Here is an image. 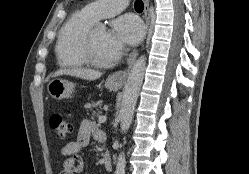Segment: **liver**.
I'll list each match as a JSON object with an SVG mask.
<instances>
[{"instance_id": "liver-1", "label": "liver", "mask_w": 249, "mask_h": 174, "mask_svg": "<svg viewBox=\"0 0 249 174\" xmlns=\"http://www.w3.org/2000/svg\"><path fill=\"white\" fill-rule=\"evenodd\" d=\"M61 75H69V76L93 81V80L99 79L102 73L99 71H95L91 69H83V68L61 69L55 72L54 77L61 76Z\"/></svg>"}]
</instances>
